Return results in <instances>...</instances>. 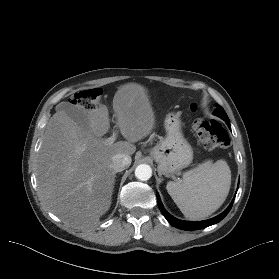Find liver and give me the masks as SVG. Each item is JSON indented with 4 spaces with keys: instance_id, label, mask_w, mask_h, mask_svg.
<instances>
[{
    "instance_id": "obj_1",
    "label": "liver",
    "mask_w": 279,
    "mask_h": 279,
    "mask_svg": "<svg viewBox=\"0 0 279 279\" xmlns=\"http://www.w3.org/2000/svg\"><path fill=\"white\" fill-rule=\"evenodd\" d=\"M60 104L47 124L37 159L39 194L46 207L69 227L92 228L111 206L116 176L111 158L135 153L134 143L155 126L154 111L144 86L134 82L121 85L113 98V110L126 141L110 144L103 138L110 128L105 106L88 110V127L83 128Z\"/></svg>"
}]
</instances>
